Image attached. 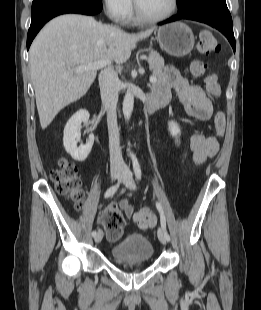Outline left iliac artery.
Instances as JSON below:
<instances>
[{"label": "left iliac artery", "mask_w": 261, "mask_h": 310, "mask_svg": "<svg viewBox=\"0 0 261 310\" xmlns=\"http://www.w3.org/2000/svg\"><path fill=\"white\" fill-rule=\"evenodd\" d=\"M132 161H133V169H134L135 176L138 180H141V168H140V165H139V162H138V159L136 158V156H134V155L132 156ZM156 207L160 213L161 227L165 233L166 239L169 241L170 236L166 230V219H165V215H164L162 205L159 202H156Z\"/></svg>", "instance_id": "obj_1"}]
</instances>
